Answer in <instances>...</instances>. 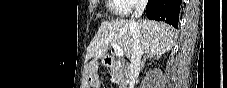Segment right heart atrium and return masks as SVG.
Returning a JSON list of instances; mask_svg holds the SVG:
<instances>
[{
    "instance_id": "obj_1",
    "label": "right heart atrium",
    "mask_w": 227,
    "mask_h": 88,
    "mask_svg": "<svg viewBox=\"0 0 227 88\" xmlns=\"http://www.w3.org/2000/svg\"><path fill=\"white\" fill-rule=\"evenodd\" d=\"M125 5V13L132 14L143 9L147 3L146 0H122Z\"/></svg>"
}]
</instances>
